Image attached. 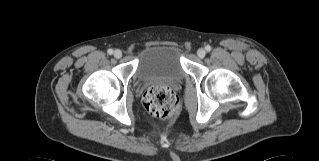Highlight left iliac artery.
I'll list each match as a JSON object with an SVG mask.
<instances>
[{"mask_svg":"<svg viewBox=\"0 0 319 161\" xmlns=\"http://www.w3.org/2000/svg\"><path fill=\"white\" fill-rule=\"evenodd\" d=\"M205 49H206V51H210V50H211V46L207 45V46L205 47Z\"/></svg>","mask_w":319,"mask_h":161,"instance_id":"1","label":"left iliac artery"}]
</instances>
